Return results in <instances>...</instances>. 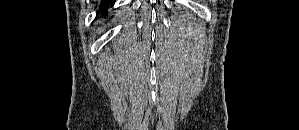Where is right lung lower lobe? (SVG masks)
<instances>
[{
	"instance_id": "right-lung-lower-lobe-1",
	"label": "right lung lower lobe",
	"mask_w": 299,
	"mask_h": 130,
	"mask_svg": "<svg viewBox=\"0 0 299 130\" xmlns=\"http://www.w3.org/2000/svg\"><path fill=\"white\" fill-rule=\"evenodd\" d=\"M109 3L111 4V5H113L114 4V1H109ZM108 1H106V0H103L102 1V3H101V5H100V12H101V14L104 16V15H106V13H107V6H108Z\"/></svg>"
}]
</instances>
